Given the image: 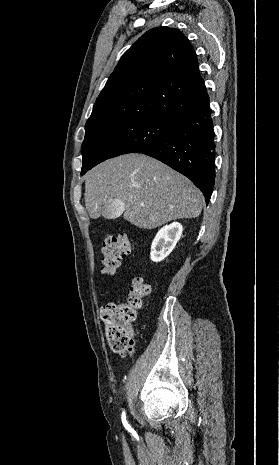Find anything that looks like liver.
<instances>
[{"instance_id": "6515ba94", "label": "liver", "mask_w": 279, "mask_h": 465, "mask_svg": "<svg viewBox=\"0 0 279 465\" xmlns=\"http://www.w3.org/2000/svg\"><path fill=\"white\" fill-rule=\"evenodd\" d=\"M84 198L92 219L116 198L124 204L125 220L149 230L202 211V194L187 177L144 154L121 155L91 169Z\"/></svg>"}]
</instances>
